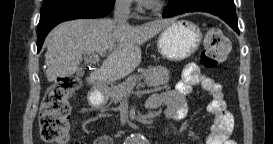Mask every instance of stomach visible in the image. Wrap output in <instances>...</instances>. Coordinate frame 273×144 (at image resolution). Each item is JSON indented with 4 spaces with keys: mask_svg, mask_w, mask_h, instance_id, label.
<instances>
[{
    "mask_svg": "<svg viewBox=\"0 0 273 144\" xmlns=\"http://www.w3.org/2000/svg\"><path fill=\"white\" fill-rule=\"evenodd\" d=\"M202 34L197 25L180 20L163 29L157 39L160 54L171 61H181L198 49ZM109 97L107 91H92L88 96L89 104L94 108L103 107Z\"/></svg>",
    "mask_w": 273,
    "mask_h": 144,
    "instance_id": "0dacf381",
    "label": "stomach"
}]
</instances>
